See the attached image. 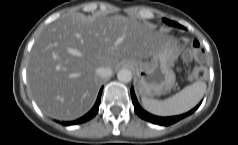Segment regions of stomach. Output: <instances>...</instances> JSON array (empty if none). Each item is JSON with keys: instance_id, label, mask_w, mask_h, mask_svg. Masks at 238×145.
Returning <instances> with one entry per match:
<instances>
[{"instance_id": "0dacf381", "label": "stomach", "mask_w": 238, "mask_h": 145, "mask_svg": "<svg viewBox=\"0 0 238 145\" xmlns=\"http://www.w3.org/2000/svg\"><path fill=\"white\" fill-rule=\"evenodd\" d=\"M176 58L175 43L168 41L135 73L138 93L143 97H151L170 91L175 84V73L172 67Z\"/></svg>"}]
</instances>
